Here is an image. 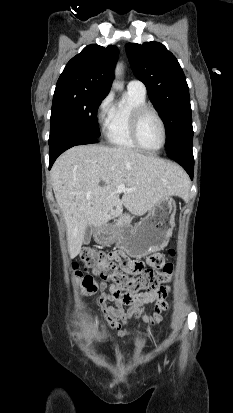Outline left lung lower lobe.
I'll list each match as a JSON object with an SVG mask.
<instances>
[{
	"label": "left lung lower lobe",
	"mask_w": 233,
	"mask_h": 413,
	"mask_svg": "<svg viewBox=\"0 0 233 413\" xmlns=\"http://www.w3.org/2000/svg\"><path fill=\"white\" fill-rule=\"evenodd\" d=\"M169 158L179 163L189 174L191 180L193 179L194 158L192 148L190 149H176L173 152H167Z\"/></svg>",
	"instance_id": "1"
}]
</instances>
